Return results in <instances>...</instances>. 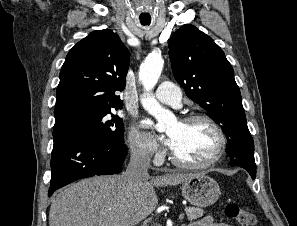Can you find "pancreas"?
<instances>
[{"label": "pancreas", "mask_w": 297, "mask_h": 226, "mask_svg": "<svg viewBox=\"0 0 297 226\" xmlns=\"http://www.w3.org/2000/svg\"><path fill=\"white\" fill-rule=\"evenodd\" d=\"M186 215L189 221L196 220L204 215V210L199 207H186L185 208Z\"/></svg>", "instance_id": "1"}]
</instances>
